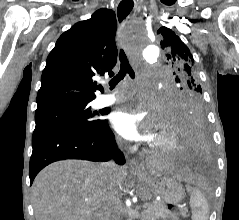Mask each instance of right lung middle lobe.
Instances as JSON below:
<instances>
[{
  "label": "right lung middle lobe",
  "instance_id": "obj_1",
  "mask_svg": "<svg viewBox=\"0 0 239 220\" xmlns=\"http://www.w3.org/2000/svg\"><path fill=\"white\" fill-rule=\"evenodd\" d=\"M88 104H65L37 108L35 129L61 127L82 131L96 130L104 120L97 119L99 113L91 112Z\"/></svg>",
  "mask_w": 239,
  "mask_h": 220
}]
</instances>
